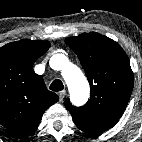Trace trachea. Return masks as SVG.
<instances>
[{
    "mask_svg": "<svg viewBox=\"0 0 142 142\" xmlns=\"http://www.w3.org/2000/svg\"><path fill=\"white\" fill-rule=\"evenodd\" d=\"M63 89H64V85L62 81L58 79L54 80L52 84L50 85V90L52 91H61Z\"/></svg>",
    "mask_w": 142,
    "mask_h": 142,
    "instance_id": "3493384b",
    "label": "trachea"
}]
</instances>
